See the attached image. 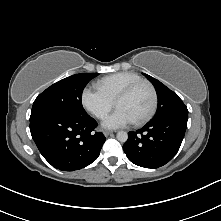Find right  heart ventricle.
Wrapping results in <instances>:
<instances>
[{
    "instance_id": "1",
    "label": "right heart ventricle",
    "mask_w": 221,
    "mask_h": 221,
    "mask_svg": "<svg viewBox=\"0 0 221 221\" xmlns=\"http://www.w3.org/2000/svg\"><path fill=\"white\" fill-rule=\"evenodd\" d=\"M143 78L135 72H120L101 78L97 88L115 102L118 95L130 84Z\"/></svg>"
}]
</instances>
